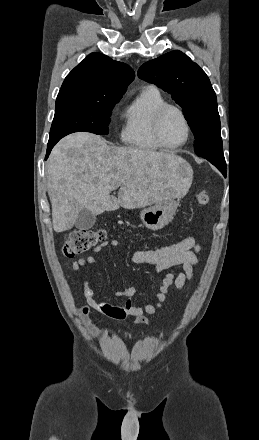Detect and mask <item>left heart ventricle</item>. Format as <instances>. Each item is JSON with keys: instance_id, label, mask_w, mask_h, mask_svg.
I'll use <instances>...</instances> for the list:
<instances>
[{"instance_id": "obj_1", "label": "left heart ventricle", "mask_w": 259, "mask_h": 440, "mask_svg": "<svg viewBox=\"0 0 259 440\" xmlns=\"http://www.w3.org/2000/svg\"><path fill=\"white\" fill-rule=\"evenodd\" d=\"M161 136L167 145H176L185 139L186 129L177 112L170 110L165 114L161 124Z\"/></svg>"}]
</instances>
